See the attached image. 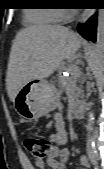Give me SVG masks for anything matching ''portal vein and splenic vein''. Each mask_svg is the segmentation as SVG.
I'll list each match as a JSON object with an SVG mask.
<instances>
[{"label": "portal vein and splenic vein", "mask_w": 104, "mask_h": 169, "mask_svg": "<svg viewBox=\"0 0 104 169\" xmlns=\"http://www.w3.org/2000/svg\"><path fill=\"white\" fill-rule=\"evenodd\" d=\"M69 72L74 75H78L79 68L76 65L69 66Z\"/></svg>", "instance_id": "18ae733b"}]
</instances>
